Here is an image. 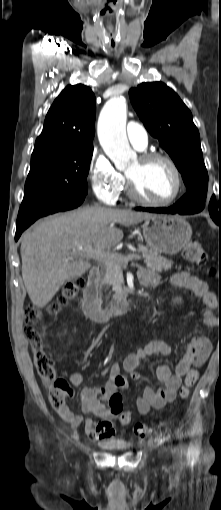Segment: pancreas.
Instances as JSON below:
<instances>
[{
    "label": "pancreas",
    "instance_id": "obj_1",
    "mask_svg": "<svg viewBox=\"0 0 221 510\" xmlns=\"http://www.w3.org/2000/svg\"><path fill=\"white\" fill-rule=\"evenodd\" d=\"M138 251L142 254V257L144 258V262L147 266V268H150L152 270L162 272L163 270L167 271L170 270L173 266V261L168 260L161 255H159L157 252H154L148 247L138 244ZM117 258L113 259L110 264H104L102 267V283L112 285L113 287L118 286L123 282L122 280V269L126 268L127 263H124L120 260L119 257H125L124 255H121L119 253H116ZM131 255L127 254L126 256Z\"/></svg>",
    "mask_w": 221,
    "mask_h": 510
}]
</instances>
